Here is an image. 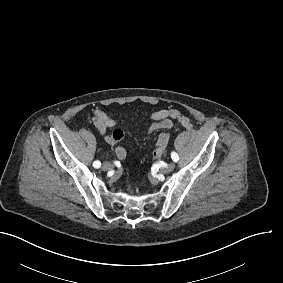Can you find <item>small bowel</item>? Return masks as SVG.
Segmentation results:
<instances>
[{"label": "small bowel", "instance_id": "obj_1", "mask_svg": "<svg viewBox=\"0 0 283 283\" xmlns=\"http://www.w3.org/2000/svg\"><path fill=\"white\" fill-rule=\"evenodd\" d=\"M150 119L151 123L147 130L148 133L156 132L161 128L171 129L176 123L187 129L192 128L190 119L177 109L158 110L151 114ZM92 122L101 134H105L108 129L114 128L112 133L106 134L105 141L111 146H116L115 153L117 158L124 160L126 158V150L122 146H117V144L124 138L125 133L119 127L118 121L102 109L96 108L93 111Z\"/></svg>", "mask_w": 283, "mask_h": 283}]
</instances>
